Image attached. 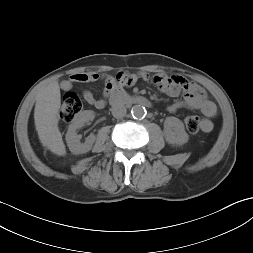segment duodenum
Masks as SVG:
<instances>
[{"mask_svg":"<svg viewBox=\"0 0 253 253\" xmlns=\"http://www.w3.org/2000/svg\"><path fill=\"white\" fill-rule=\"evenodd\" d=\"M105 96L112 104H140L150 106V101L143 96H131L122 90L119 86L114 85L105 92ZM106 105V100L103 101V106Z\"/></svg>","mask_w":253,"mask_h":253,"instance_id":"410a0bca","label":"duodenum"}]
</instances>
